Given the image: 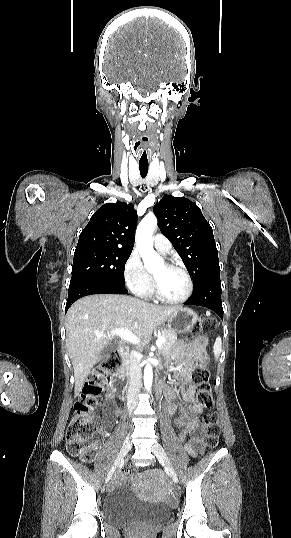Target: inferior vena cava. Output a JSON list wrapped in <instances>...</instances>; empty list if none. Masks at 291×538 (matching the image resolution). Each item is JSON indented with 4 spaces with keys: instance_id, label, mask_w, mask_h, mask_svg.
I'll return each instance as SVG.
<instances>
[{
    "instance_id": "602c4592",
    "label": "inferior vena cava",
    "mask_w": 291,
    "mask_h": 538,
    "mask_svg": "<svg viewBox=\"0 0 291 538\" xmlns=\"http://www.w3.org/2000/svg\"><path fill=\"white\" fill-rule=\"evenodd\" d=\"M134 354L131 355V368H130V379H129V389L127 395V408L131 413L137 405V395L141 387V370L137 365Z\"/></svg>"
}]
</instances>
